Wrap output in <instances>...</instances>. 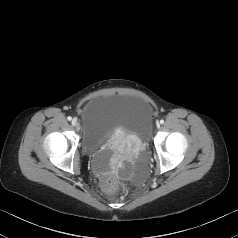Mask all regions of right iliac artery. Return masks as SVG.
<instances>
[{
    "label": "right iliac artery",
    "mask_w": 238,
    "mask_h": 238,
    "mask_svg": "<svg viewBox=\"0 0 238 238\" xmlns=\"http://www.w3.org/2000/svg\"><path fill=\"white\" fill-rule=\"evenodd\" d=\"M67 119H68V121H71V120H72V117H71V116H69V117H67Z\"/></svg>",
    "instance_id": "1"
}]
</instances>
